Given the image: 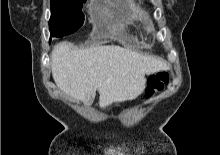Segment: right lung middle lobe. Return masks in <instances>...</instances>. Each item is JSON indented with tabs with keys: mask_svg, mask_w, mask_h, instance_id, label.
Listing matches in <instances>:
<instances>
[{
	"mask_svg": "<svg viewBox=\"0 0 220 155\" xmlns=\"http://www.w3.org/2000/svg\"><path fill=\"white\" fill-rule=\"evenodd\" d=\"M85 1L51 0L49 29L52 37H63L77 31L84 22L81 11Z\"/></svg>",
	"mask_w": 220,
	"mask_h": 155,
	"instance_id": "dd1d6c3e",
	"label": "right lung middle lobe"
}]
</instances>
